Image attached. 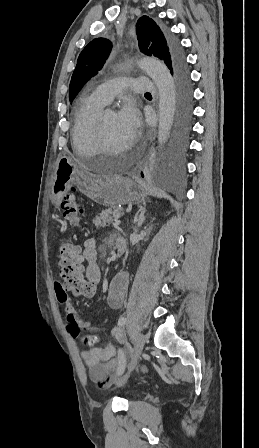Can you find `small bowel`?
Wrapping results in <instances>:
<instances>
[{
  "instance_id": "small-bowel-1",
  "label": "small bowel",
  "mask_w": 259,
  "mask_h": 448,
  "mask_svg": "<svg viewBox=\"0 0 259 448\" xmlns=\"http://www.w3.org/2000/svg\"><path fill=\"white\" fill-rule=\"evenodd\" d=\"M119 241L125 242L122 238H118L116 244ZM96 256L95 240L89 239L84 245L83 258L88 262L86 277L93 288L96 287L101 278V272L96 263ZM128 283L129 277L125 272L118 273L112 279L106 297V302L109 307L113 309L121 307L128 289ZM55 293L58 303L62 305L65 312L66 327L73 337H78L81 329L97 332V327L78 318L70 303L66 290L60 283H55ZM111 335L117 340H122V333L117 328L111 330ZM83 337L80 338L82 345H84ZM80 355L89 369L90 377L94 381H97L100 387L111 385L117 378L118 372H124L127 368L126 359L118 356L117 347L112 343H109L104 348L84 347Z\"/></svg>"
}]
</instances>
